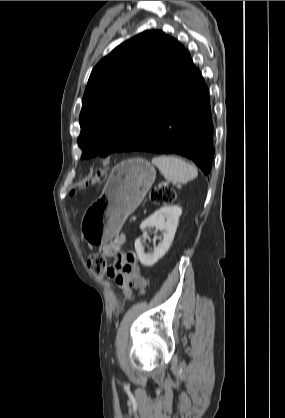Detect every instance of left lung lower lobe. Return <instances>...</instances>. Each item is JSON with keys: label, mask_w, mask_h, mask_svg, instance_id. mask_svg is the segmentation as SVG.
<instances>
[{"label": "left lung lower lobe", "mask_w": 285, "mask_h": 418, "mask_svg": "<svg viewBox=\"0 0 285 418\" xmlns=\"http://www.w3.org/2000/svg\"><path fill=\"white\" fill-rule=\"evenodd\" d=\"M212 137L209 90L185 50L137 137L124 151L179 154L209 174L215 152Z\"/></svg>", "instance_id": "obj_1"}]
</instances>
